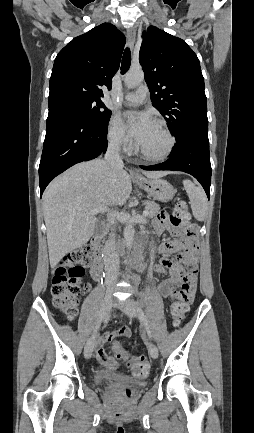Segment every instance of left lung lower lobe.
Here are the masks:
<instances>
[{"label": "left lung lower lobe", "instance_id": "0a47b994", "mask_svg": "<svg viewBox=\"0 0 254 433\" xmlns=\"http://www.w3.org/2000/svg\"><path fill=\"white\" fill-rule=\"evenodd\" d=\"M144 170L183 171L194 176L210 198L211 164L208 131L192 129L176 139L171 157L157 165L140 166Z\"/></svg>", "mask_w": 254, "mask_h": 433}]
</instances>
